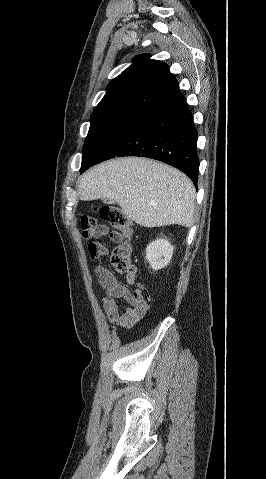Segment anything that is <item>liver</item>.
Here are the masks:
<instances>
[{
    "label": "liver",
    "instance_id": "1",
    "mask_svg": "<svg viewBox=\"0 0 266 479\" xmlns=\"http://www.w3.org/2000/svg\"><path fill=\"white\" fill-rule=\"evenodd\" d=\"M83 201L108 198L128 218L148 227H191L195 188L190 179L166 164L140 157L117 158L87 171L78 184Z\"/></svg>",
    "mask_w": 266,
    "mask_h": 479
}]
</instances>
